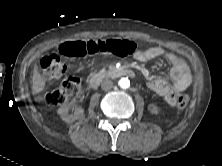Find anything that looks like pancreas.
Instances as JSON below:
<instances>
[{
  "label": "pancreas",
  "instance_id": "1",
  "mask_svg": "<svg viewBox=\"0 0 222 166\" xmlns=\"http://www.w3.org/2000/svg\"><path fill=\"white\" fill-rule=\"evenodd\" d=\"M100 74L107 75V74H108V71H106L105 69H102V70L100 71Z\"/></svg>",
  "mask_w": 222,
  "mask_h": 166
}]
</instances>
